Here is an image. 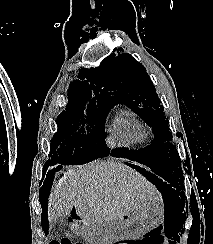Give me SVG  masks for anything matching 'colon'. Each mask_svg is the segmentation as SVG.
<instances>
[{"mask_svg":"<svg viewBox=\"0 0 213 244\" xmlns=\"http://www.w3.org/2000/svg\"><path fill=\"white\" fill-rule=\"evenodd\" d=\"M50 244H84L83 242H73L68 238H63L61 240H55L50 242Z\"/></svg>","mask_w":213,"mask_h":244,"instance_id":"5ec220e1","label":"colon"}]
</instances>
